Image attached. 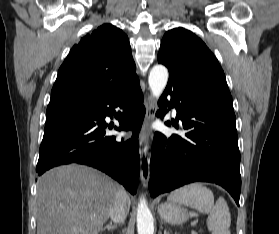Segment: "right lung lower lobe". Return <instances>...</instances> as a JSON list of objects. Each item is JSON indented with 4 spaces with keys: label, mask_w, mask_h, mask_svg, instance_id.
I'll use <instances>...</instances> for the list:
<instances>
[{
    "label": "right lung lower lobe",
    "mask_w": 279,
    "mask_h": 234,
    "mask_svg": "<svg viewBox=\"0 0 279 234\" xmlns=\"http://www.w3.org/2000/svg\"><path fill=\"white\" fill-rule=\"evenodd\" d=\"M139 79L110 97L77 110L46 118L43 140L36 167L38 175L69 163L95 167L113 177L131 193L137 192L140 157L138 133L145 107ZM119 107L121 111L116 112ZM120 123L116 130H132V139L116 140L107 136L106 116Z\"/></svg>",
    "instance_id": "right-lung-lower-lobe-1"
}]
</instances>
